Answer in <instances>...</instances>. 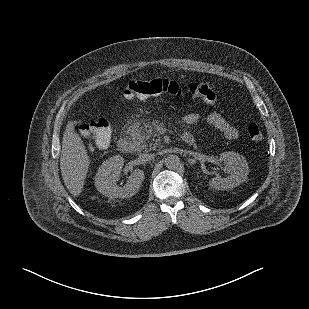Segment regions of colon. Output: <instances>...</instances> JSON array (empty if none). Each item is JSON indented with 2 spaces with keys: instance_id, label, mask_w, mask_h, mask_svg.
<instances>
[{
  "instance_id": "obj_1",
  "label": "colon",
  "mask_w": 309,
  "mask_h": 309,
  "mask_svg": "<svg viewBox=\"0 0 309 309\" xmlns=\"http://www.w3.org/2000/svg\"><path fill=\"white\" fill-rule=\"evenodd\" d=\"M161 94L190 97L210 105L214 104L216 100V93L208 83L196 82L181 86L174 81L158 78L151 81L132 80L123 84V95L127 99H145ZM247 132L252 141L262 142L263 135L257 124H249ZM80 133L84 138H92L98 146H107L112 136L110 119L105 115L97 117L86 124Z\"/></svg>"
}]
</instances>
